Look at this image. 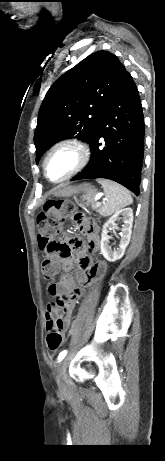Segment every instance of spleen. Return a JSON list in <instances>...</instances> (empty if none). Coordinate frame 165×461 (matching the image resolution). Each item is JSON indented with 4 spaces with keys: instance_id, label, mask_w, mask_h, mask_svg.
Here are the masks:
<instances>
[{
    "instance_id": "obj_1",
    "label": "spleen",
    "mask_w": 165,
    "mask_h": 461,
    "mask_svg": "<svg viewBox=\"0 0 165 461\" xmlns=\"http://www.w3.org/2000/svg\"><path fill=\"white\" fill-rule=\"evenodd\" d=\"M105 192V201L99 209L102 216H109L116 211L133 203L130 192L120 184L106 180L98 179Z\"/></svg>"
}]
</instances>
